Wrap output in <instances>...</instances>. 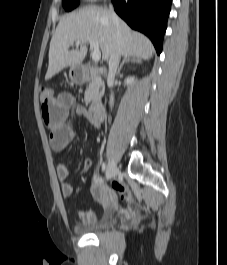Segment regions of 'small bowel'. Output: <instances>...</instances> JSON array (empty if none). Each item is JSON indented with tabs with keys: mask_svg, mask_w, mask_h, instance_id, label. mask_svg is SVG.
Returning a JSON list of instances; mask_svg holds the SVG:
<instances>
[{
	"mask_svg": "<svg viewBox=\"0 0 227 265\" xmlns=\"http://www.w3.org/2000/svg\"><path fill=\"white\" fill-rule=\"evenodd\" d=\"M77 99L71 96L61 95L54 98L51 102H41V117L49 128V142L54 151H61L68 146L74 139L75 133L73 128L67 123L69 107L71 104H77ZM77 115L89 120V122L97 129H100L98 120L92 117L89 111L77 105L75 108ZM91 159L85 161V167H89ZM58 180L63 197L70 198L73 194V187L68 181L69 168L65 163L58 164L56 168ZM91 194L95 201L99 202L104 209L108 208L110 197L107 196L102 188V180L100 175L96 173L92 178ZM80 221L86 225L95 224L98 221L97 215L88 210H80L78 212Z\"/></svg>",
	"mask_w": 227,
	"mask_h": 265,
	"instance_id": "small-bowel-1",
	"label": "small bowel"
}]
</instances>
